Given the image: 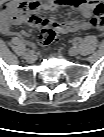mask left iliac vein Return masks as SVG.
I'll return each mask as SVG.
<instances>
[{"label":"left iliac vein","instance_id":"left-iliac-vein-1","mask_svg":"<svg viewBox=\"0 0 104 137\" xmlns=\"http://www.w3.org/2000/svg\"><path fill=\"white\" fill-rule=\"evenodd\" d=\"M70 54H71L72 56L78 55V54H79L78 48L72 47V48L70 49Z\"/></svg>","mask_w":104,"mask_h":137}]
</instances>
